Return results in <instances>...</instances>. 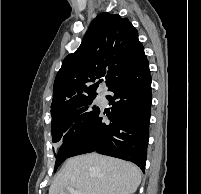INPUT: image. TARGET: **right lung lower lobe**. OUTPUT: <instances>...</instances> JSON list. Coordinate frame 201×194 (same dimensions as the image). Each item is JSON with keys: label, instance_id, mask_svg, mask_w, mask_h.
Segmentation results:
<instances>
[{"label": "right lung lower lobe", "instance_id": "right-lung-lower-lobe-1", "mask_svg": "<svg viewBox=\"0 0 201 194\" xmlns=\"http://www.w3.org/2000/svg\"><path fill=\"white\" fill-rule=\"evenodd\" d=\"M110 123L100 112L89 124L63 142L58 154L64 159L96 151L131 161L145 170L151 112V76L146 56L108 89Z\"/></svg>", "mask_w": 201, "mask_h": 194}]
</instances>
